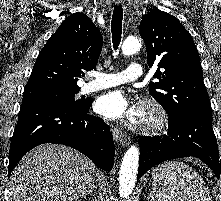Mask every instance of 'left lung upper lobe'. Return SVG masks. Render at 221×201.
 <instances>
[{
    "instance_id": "left-lung-upper-lobe-1",
    "label": "left lung upper lobe",
    "mask_w": 221,
    "mask_h": 201,
    "mask_svg": "<svg viewBox=\"0 0 221 201\" xmlns=\"http://www.w3.org/2000/svg\"><path fill=\"white\" fill-rule=\"evenodd\" d=\"M149 67L157 65L149 93L163 106L169 121L207 112L211 104L203 82L200 58L190 33L174 16L151 10L140 23ZM161 69V70H160Z\"/></svg>"
}]
</instances>
